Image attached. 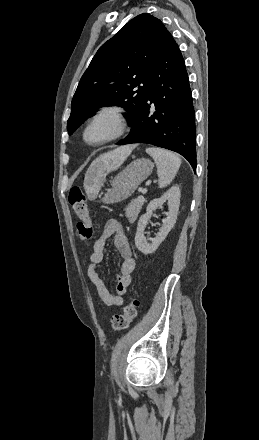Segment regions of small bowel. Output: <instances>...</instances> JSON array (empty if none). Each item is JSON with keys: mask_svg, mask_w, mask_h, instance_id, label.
Here are the masks:
<instances>
[{"mask_svg": "<svg viewBox=\"0 0 259 440\" xmlns=\"http://www.w3.org/2000/svg\"><path fill=\"white\" fill-rule=\"evenodd\" d=\"M110 237H113L114 245L122 259L119 266V273L116 277V293L110 291L100 273V265L104 260L106 243ZM135 266L136 263L133 258L129 239L121 222L117 219L108 220L101 235L93 244V250L90 255V265L87 270L88 277L95 286L99 298L104 305L119 306L123 303L127 288L132 282Z\"/></svg>", "mask_w": 259, "mask_h": 440, "instance_id": "obj_1", "label": "small bowel"}]
</instances>
